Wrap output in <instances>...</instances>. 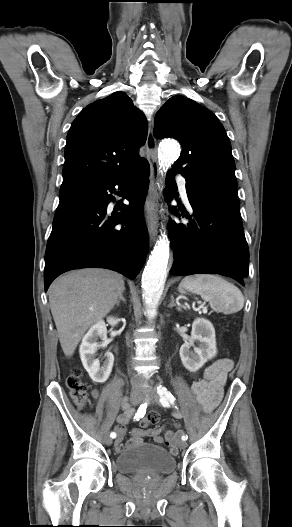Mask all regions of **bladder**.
Wrapping results in <instances>:
<instances>
[{
    "instance_id": "bladder-1",
    "label": "bladder",
    "mask_w": 292,
    "mask_h": 527,
    "mask_svg": "<svg viewBox=\"0 0 292 527\" xmlns=\"http://www.w3.org/2000/svg\"><path fill=\"white\" fill-rule=\"evenodd\" d=\"M115 467L124 474L164 475L174 471L176 459L163 446L142 443L120 452Z\"/></svg>"
}]
</instances>
